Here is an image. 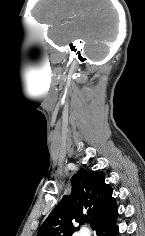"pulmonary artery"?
<instances>
[{
    "instance_id": "1",
    "label": "pulmonary artery",
    "mask_w": 145,
    "mask_h": 236,
    "mask_svg": "<svg viewBox=\"0 0 145 236\" xmlns=\"http://www.w3.org/2000/svg\"><path fill=\"white\" fill-rule=\"evenodd\" d=\"M80 236H90L89 231L86 228H82L79 232Z\"/></svg>"
}]
</instances>
